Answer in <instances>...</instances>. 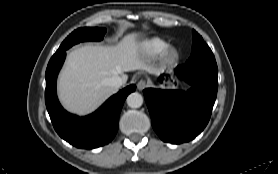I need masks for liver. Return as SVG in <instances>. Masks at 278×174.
<instances>
[{"label": "liver", "mask_w": 278, "mask_h": 174, "mask_svg": "<svg viewBox=\"0 0 278 174\" xmlns=\"http://www.w3.org/2000/svg\"><path fill=\"white\" fill-rule=\"evenodd\" d=\"M137 37L131 33L115 46L88 44L71 51L58 80L62 105L72 113L86 115L116 93L108 84L110 78L120 76L126 83L124 73L135 70L158 75L160 70L146 60Z\"/></svg>", "instance_id": "6515ba94"}]
</instances>
